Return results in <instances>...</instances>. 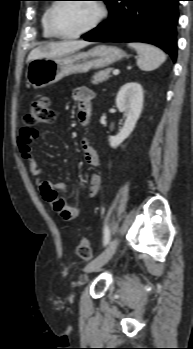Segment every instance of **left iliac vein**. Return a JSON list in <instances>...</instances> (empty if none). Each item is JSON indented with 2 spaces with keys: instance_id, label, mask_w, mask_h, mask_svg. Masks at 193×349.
Listing matches in <instances>:
<instances>
[{
  "instance_id": "left-iliac-vein-1",
  "label": "left iliac vein",
  "mask_w": 193,
  "mask_h": 349,
  "mask_svg": "<svg viewBox=\"0 0 193 349\" xmlns=\"http://www.w3.org/2000/svg\"><path fill=\"white\" fill-rule=\"evenodd\" d=\"M117 245L118 239H112L106 249L94 261L85 267V271L88 273L98 271L112 258L116 251Z\"/></svg>"
}]
</instances>
